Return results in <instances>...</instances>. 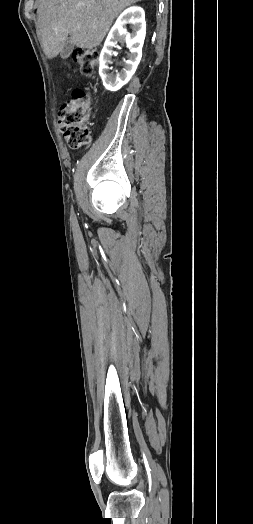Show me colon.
Masks as SVG:
<instances>
[{"label": "colon", "instance_id": "obj_1", "mask_svg": "<svg viewBox=\"0 0 253 524\" xmlns=\"http://www.w3.org/2000/svg\"><path fill=\"white\" fill-rule=\"evenodd\" d=\"M100 52L96 48H80L74 53V59L84 76H92L99 60ZM90 93L88 90L74 89L70 97L61 105L58 114V127L71 148L87 146L90 135Z\"/></svg>", "mask_w": 253, "mask_h": 524}]
</instances>
